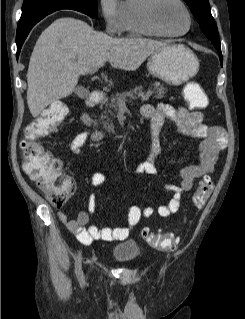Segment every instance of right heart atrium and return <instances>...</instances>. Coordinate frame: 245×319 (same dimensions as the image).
<instances>
[{"mask_svg":"<svg viewBox=\"0 0 245 319\" xmlns=\"http://www.w3.org/2000/svg\"><path fill=\"white\" fill-rule=\"evenodd\" d=\"M99 9L108 34L118 35L123 31L122 2L120 0H99Z\"/></svg>","mask_w":245,"mask_h":319,"instance_id":"1","label":"right heart atrium"}]
</instances>
